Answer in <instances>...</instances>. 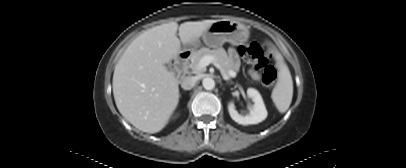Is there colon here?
<instances>
[{
    "mask_svg": "<svg viewBox=\"0 0 406 168\" xmlns=\"http://www.w3.org/2000/svg\"><path fill=\"white\" fill-rule=\"evenodd\" d=\"M239 54L244 61L261 71L262 82L266 87H272L277 77V71L268 61V54L258 42H247L239 48Z\"/></svg>",
    "mask_w": 406,
    "mask_h": 168,
    "instance_id": "obj_1",
    "label": "colon"
}]
</instances>
